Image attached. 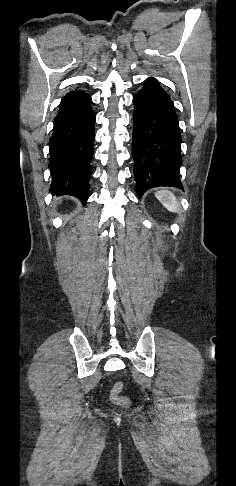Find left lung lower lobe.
I'll list each match as a JSON object with an SVG mask.
<instances>
[{
    "label": "left lung lower lobe",
    "mask_w": 236,
    "mask_h": 486,
    "mask_svg": "<svg viewBox=\"0 0 236 486\" xmlns=\"http://www.w3.org/2000/svg\"><path fill=\"white\" fill-rule=\"evenodd\" d=\"M133 102L132 156L138 197L158 186L183 189L179 178L182 139L171 98L156 79L148 78Z\"/></svg>",
    "instance_id": "obj_1"
}]
</instances>
